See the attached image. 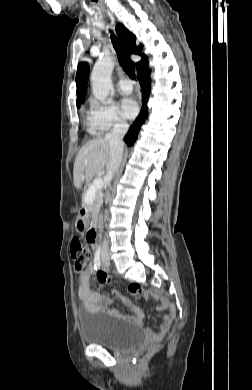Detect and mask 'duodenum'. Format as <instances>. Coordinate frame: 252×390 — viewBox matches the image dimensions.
I'll return each instance as SVG.
<instances>
[{
  "mask_svg": "<svg viewBox=\"0 0 252 390\" xmlns=\"http://www.w3.org/2000/svg\"><path fill=\"white\" fill-rule=\"evenodd\" d=\"M81 216L83 218V220H87L88 218V211L86 209H83L81 211ZM91 233H92V238H91V243L92 244H95L96 240H97V232L94 228L91 229Z\"/></svg>",
  "mask_w": 252,
  "mask_h": 390,
  "instance_id": "duodenum-1",
  "label": "duodenum"
}]
</instances>
